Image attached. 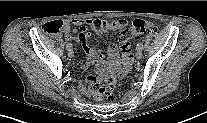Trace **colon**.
<instances>
[{
  "instance_id": "1",
  "label": "colon",
  "mask_w": 207,
  "mask_h": 123,
  "mask_svg": "<svg viewBox=\"0 0 207 123\" xmlns=\"http://www.w3.org/2000/svg\"><path fill=\"white\" fill-rule=\"evenodd\" d=\"M111 23L105 20L95 19L88 22V27L95 33H102L110 28ZM63 23L61 20H55L44 23L41 27L42 31L46 34H56L62 30ZM158 26L153 22L144 20H135L131 27L125 28L120 37L119 44L122 51L126 48L128 41L137 36L146 33L156 32ZM116 88V79L109 77L103 82L96 83L93 87V99L96 101H104L113 97V92Z\"/></svg>"
}]
</instances>
